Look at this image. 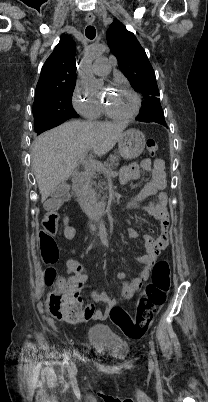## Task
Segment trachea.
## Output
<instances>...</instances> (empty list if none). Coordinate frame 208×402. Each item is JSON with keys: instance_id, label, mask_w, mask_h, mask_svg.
Returning <instances> with one entry per match:
<instances>
[{"instance_id": "obj_1", "label": "trachea", "mask_w": 208, "mask_h": 402, "mask_svg": "<svg viewBox=\"0 0 208 402\" xmlns=\"http://www.w3.org/2000/svg\"><path fill=\"white\" fill-rule=\"evenodd\" d=\"M85 35L90 40H93V38H95V36H96L95 28L92 25H88V27L85 30Z\"/></svg>"}]
</instances>
